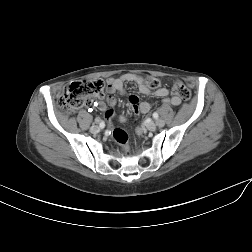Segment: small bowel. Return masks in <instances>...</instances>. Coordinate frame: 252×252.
<instances>
[{
    "mask_svg": "<svg viewBox=\"0 0 252 252\" xmlns=\"http://www.w3.org/2000/svg\"><path fill=\"white\" fill-rule=\"evenodd\" d=\"M126 83H135L138 86V90L143 95H149L150 89L143 83L141 76L133 73H125L118 78H110L107 80V96H100V100L97 102V107L100 111H103L107 119H111L115 115L114 106L116 105V99L113 96L114 93H124V86ZM155 96L159 98H165L164 102L173 106H178L181 103V99L177 96H171L169 98V90L167 88H159L154 92ZM130 102L133 107L137 108L140 113H148L150 111V104L145 101H140L138 97L131 96ZM122 115L120 116V121Z\"/></svg>",
    "mask_w": 252,
    "mask_h": 252,
    "instance_id": "c3829d8e",
    "label": "small bowel"
}]
</instances>
